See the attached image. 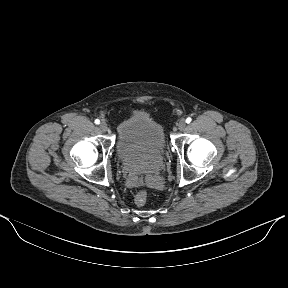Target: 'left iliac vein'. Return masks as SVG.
<instances>
[{
	"mask_svg": "<svg viewBox=\"0 0 288 288\" xmlns=\"http://www.w3.org/2000/svg\"><path fill=\"white\" fill-rule=\"evenodd\" d=\"M186 127V121L184 119H181L179 122H178V129L179 130H184Z\"/></svg>",
	"mask_w": 288,
	"mask_h": 288,
	"instance_id": "obj_1",
	"label": "left iliac vein"
}]
</instances>
